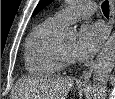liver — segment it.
<instances>
[{
  "mask_svg": "<svg viewBox=\"0 0 115 99\" xmlns=\"http://www.w3.org/2000/svg\"><path fill=\"white\" fill-rule=\"evenodd\" d=\"M74 84L61 76L24 77L14 86L17 99H66Z\"/></svg>",
  "mask_w": 115,
  "mask_h": 99,
  "instance_id": "1",
  "label": "liver"
}]
</instances>
